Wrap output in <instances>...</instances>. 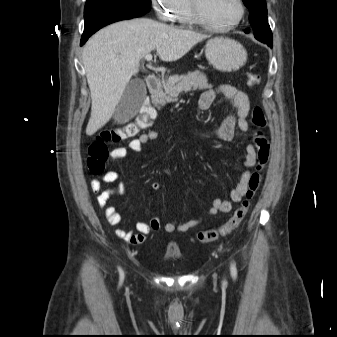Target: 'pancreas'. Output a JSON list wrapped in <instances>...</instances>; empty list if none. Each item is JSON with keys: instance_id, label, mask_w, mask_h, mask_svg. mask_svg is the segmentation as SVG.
<instances>
[{"instance_id": "1", "label": "pancreas", "mask_w": 337, "mask_h": 337, "mask_svg": "<svg viewBox=\"0 0 337 337\" xmlns=\"http://www.w3.org/2000/svg\"><path fill=\"white\" fill-rule=\"evenodd\" d=\"M211 87L205 74L200 71L188 72L186 75H173L166 80L162 79V85L152 93L151 98L154 104L164 105L175 101L182 92Z\"/></svg>"}]
</instances>
